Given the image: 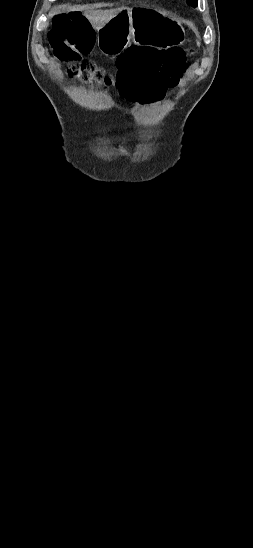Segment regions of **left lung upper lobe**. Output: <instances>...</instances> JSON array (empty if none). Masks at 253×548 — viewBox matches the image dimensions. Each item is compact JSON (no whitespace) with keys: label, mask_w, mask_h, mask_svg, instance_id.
I'll return each instance as SVG.
<instances>
[{"label":"left lung upper lobe","mask_w":253,"mask_h":548,"mask_svg":"<svg viewBox=\"0 0 253 548\" xmlns=\"http://www.w3.org/2000/svg\"><path fill=\"white\" fill-rule=\"evenodd\" d=\"M187 4L191 5L192 7H196L197 6V0H187Z\"/></svg>","instance_id":"left-lung-upper-lobe-1"}]
</instances>
